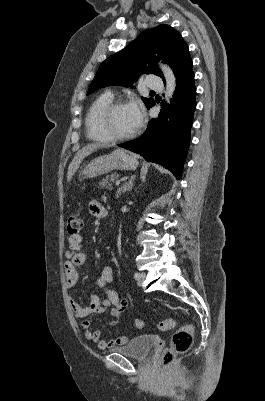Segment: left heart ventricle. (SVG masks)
Here are the masks:
<instances>
[{
    "label": "left heart ventricle",
    "mask_w": 265,
    "mask_h": 401,
    "mask_svg": "<svg viewBox=\"0 0 265 401\" xmlns=\"http://www.w3.org/2000/svg\"><path fill=\"white\" fill-rule=\"evenodd\" d=\"M108 126L114 135H126L132 132L136 128V124L129 106L125 105L117 108L110 116Z\"/></svg>",
    "instance_id": "b2bd125f"
}]
</instances>
